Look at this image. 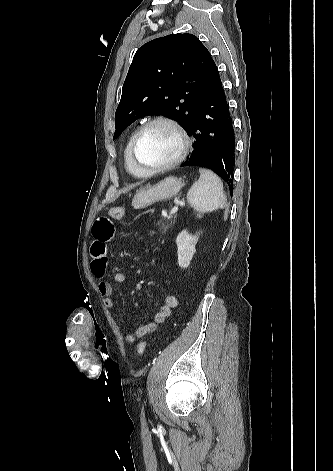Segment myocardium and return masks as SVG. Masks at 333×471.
<instances>
[{"instance_id": "1", "label": "myocardium", "mask_w": 333, "mask_h": 471, "mask_svg": "<svg viewBox=\"0 0 333 471\" xmlns=\"http://www.w3.org/2000/svg\"><path fill=\"white\" fill-rule=\"evenodd\" d=\"M155 124L168 125L176 132L180 140V151L177 157L168 163L158 165V166H145L139 161L138 149L147 130ZM190 146H191V141L187 132L177 121L166 116H157L148 120L146 123H144L135 133L134 138L132 140V144H131V150H130L131 160L134 166L143 175L148 176V175H152L156 173H161L164 171H168L178 166L180 163H182L184 159L186 158V156L188 155Z\"/></svg>"}]
</instances>
